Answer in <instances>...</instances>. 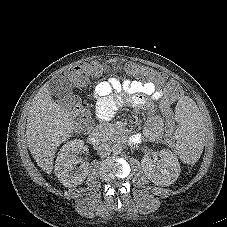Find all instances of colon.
<instances>
[{"label":"colon","instance_id":"1","mask_svg":"<svg viewBox=\"0 0 227 227\" xmlns=\"http://www.w3.org/2000/svg\"><path fill=\"white\" fill-rule=\"evenodd\" d=\"M101 67L100 63H87L70 69L66 74L68 82L75 87L84 86L89 75ZM127 70L133 77L147 82L162 84L166 82L165 76L153 69L139 67L136 64H128ZM168 92L165 101L159 104L160 117L163 119L165 126V142L170 150L177 148V129L171 118L174 116V109L170 102L176 100L181 94L180 85L174 81H167ZM67 110L74 115L79 127L87 129L89 126V113L87 109L75 98L71 99L67 105Z\"/></svg>","mask_w":227,"mask_h":227}]
</instances>
